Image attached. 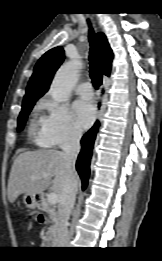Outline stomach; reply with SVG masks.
<instances>
[{
    "instance_id": "stomach-1",
    "label": "stomach",
    "mask_w": 162,
    "mask_h": 261,
    "mask_svg": "<svg viewBox=\"0 0 162 261\" xmlns=\"http://www.w3.org/2000/svg\"><path fill=\"white\" fill-rule=\"evenodd\" d=\"M23 202L26 205V207L30 209H35L38 206L36 197L31 194H25L23 197Z\"/></svg>"
}]
</instances>
